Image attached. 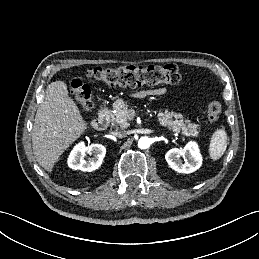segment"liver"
<instances>
[{"mask_svg": "<svg viewBox=\"0 0 259 259\" xmlns=\"http://www.w3.org/2000/svg\"><path fill=\"white\" fill-rule=\"evenodd\" d=\"M88 128L63 81L50 83L38 107L32 130L33 153L37 162L52 172L60 155Z\"/></svg>", "mask_w": 259, "mask_h": 259, "instance_id": "1", "label": "liver"}]
</instances>
